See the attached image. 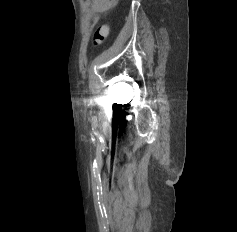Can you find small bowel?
Returning a JSON list of instances; mask_svg holds the SVG:
<instances>
[{
    "label": "small bowel",
    "instance_id": "small-bowel-1",
    "mask_svg": "<svg viewBox=\"0 0 237 232\" xmlns=\"http://www.w3.org/2000/svg\"><path fill=\"white\" fill-rule=\"evenodd\" d=\"M117 3V0H93L92 8L95 12L103 13L112 9Z\"/></svg>",
    "mask_w": 237,
    "mask_h": 232
}]
</instances>
